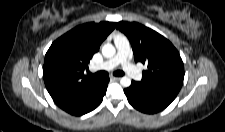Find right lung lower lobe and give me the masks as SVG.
Masks as SVG:
<instances>
[{
    "label": "right lung lower lobe",
    "mask_w": 225,
    "mask_h": 132,
    "mask_svg": "<svg viewBox=\"0 0 225 132\" xmlns=\"http://www.w3.org/2000/svg\"><path fill=\"white\" fill-rule=\"evenodd\" d=\"M108 82V77L99 78L97 85L85 98L65 105H60L59 107L64 111L76 116L83 115L94 110L102 102L103 96L107 90Z\"/></svg>",
    "instance_id": "obj_1"
}]
</instances>
